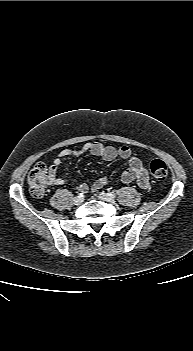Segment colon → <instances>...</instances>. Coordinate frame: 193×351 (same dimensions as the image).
Returning a JSON list of instances; mask_svg holds the SVG:
<instances>
[{"instance_id": "colon-1", "label": "colon", "mask_w": 193, "mask_h": 351, "mask_svg": "<svg viewBox=\"0 0 193 351\" xmlns=\"http://www.w3.org/2000/svg\"><path fill=\"white\" fill-rule=\"evenodd\" d=\"M149 168L152 177L158 181H163L168 176V167L161 159H154ZM50 181L51 172L45 163H37L28 175L30 191L36 197L45 195Z\"/></svg>"}]
</instances>
